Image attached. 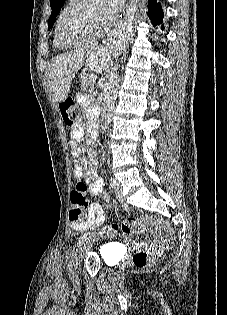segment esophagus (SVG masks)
Instances as JSON below:
<instances>
[{
	"label": "esophagus",
	"mask_w": 227,
	"mask_h": 315,
	"mask_svg": "<svg viewBox=\"0 0 227 315\" xmlns=\"http://www.w3.org/2000/svg\"><path fill=\"white\" fill-rule=\"evenodd\" d=\"M129 15H130V6L127 7L126 14H124V17L120 19V21L118 22L116 28L113 29V31L109 35L108 39L104 43H107V45L112 43V41L117 37L118 29L123 25L124 22H126L127 17Z\"/></svg>",
	"instance_id": "1"
}]
</instances>
